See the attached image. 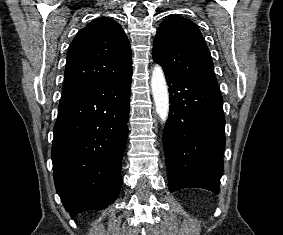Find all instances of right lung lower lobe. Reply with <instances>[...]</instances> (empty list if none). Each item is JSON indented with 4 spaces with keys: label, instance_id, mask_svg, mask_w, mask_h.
Listing matches in <instances>:
<instances>
[{
    "label": "right lung lower lobe",
    "instance_id": "right-lung-lower-lobe-1",
    "mask_svg": "<svg viewBox=\"0 0 283 235\" xmlns=\"http://www.w3.org/2000/svg\"><path fill=\"white\" fill-rule=\"evenodd\" d=\"M131 80L132 73L60 100L51 157L56 191L72 218L118 197Z\"/></svg>",
    "mask_w": 283,
    "mask_h": 235
}]
</instances>
